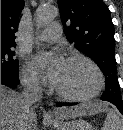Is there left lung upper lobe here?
Instances as JSON below:
<instances>
[{"label": "left lung upper lobe", "instance_id": "obj_1", "mask_svg": "<svg viewBox=\"0 0 123 130\" xmlns=\"http://www.w3.org/2000/svg\"><path fill=\"white\" fill-rule=\"evenodd\" d=\"M61 20L68 40L92 58L105 75L101 99L123 108L116 76L114 26L102 0H58Z\"/></svg>", "mask_w": 123, "mask_h": 130}]
</instances>
